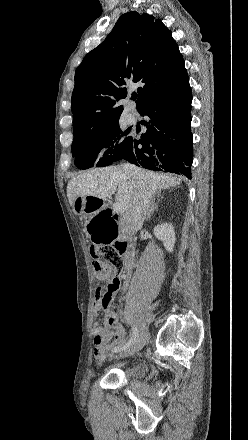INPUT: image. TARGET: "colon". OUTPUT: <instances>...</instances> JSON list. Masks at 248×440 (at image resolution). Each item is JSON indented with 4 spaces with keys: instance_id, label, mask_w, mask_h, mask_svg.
I'll list each match as a JSON object with an SVG mask.
<instances>
[{
    "instance_id": "colon-1",
    "label": "colon",
    "mask_w": 248,
    "mask_h": 440,
    "mask_svg": "<svg viewBox=\"0 0 248 440\" xmlns=\"http://www.w3.org/2000/svg\"><path fill=\"white\" fill-rule=\"evenodd\" d=\"M92 256L94 258V270L99 280H109L107 291H96V299L107 306L112 300V290L115 284L110 282L114 278V271L117 267H123L121 254L115 246H99L93 249Z\"/></svg>"
}]
</instances>
